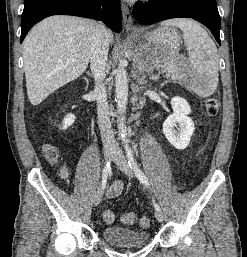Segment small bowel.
Here are the masks:
<instances>
[{
    "instance_id": "obj_1",
    "label": "small bowel",
    "mask_w": 247,
    "mask_h": 257,
    "mask_svg": "<svg viewBox=\"0 0 247 257\" xmlns=\"http://www.w3.org/2000/svg\"><path fill=\"white\" fill-rule=\"evenodd\" d=\"M48 160L52 164L57 165L59 167V174H60L62 179L65 180V179L68 178V169L64 165L61 164L58 154H57V156L55 158L48 159ZM122 190H123V183L121 181H116L108 189L107 197L108 198H115L118 195H120Z\"/></svg>"
}]
</instances>
